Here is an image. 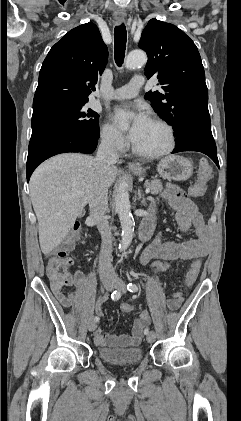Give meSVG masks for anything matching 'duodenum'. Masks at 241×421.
<instances>
[{
	"label": "duodenum",
	"mask_w": 241,
	"mask_h": 421,
	"mask_svg": "<svg viewBox=\"0 0 241 421\" xmlns=\"http://www.w3.org/2000/svg\"><path fill=\"white\" fill-rule=\"evenodd\" d=\"M154 226V218L153 217H149L147 218L142 225L140 226L139 229V238L142 241H146L149 239L152 229Z\"/></svg>",
	"instance_id": "obj_1"
}]
</instances>
